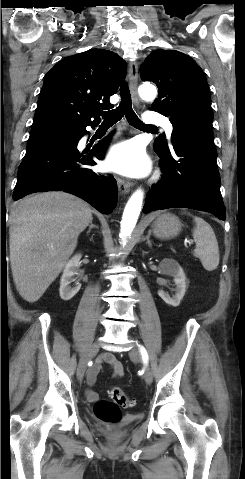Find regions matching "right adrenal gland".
Returning a JSON list of instances; mask_svg holds the SVG:
<instances>
[{
  "label": "right adrenal gland",
  "mask_w": 245,
  "mask_h": 479,
  "mask_svg": "<svg viewBox=\"0 0 245 479\" xmlns=\"http://www.w3.org/2000/svg\"><path fill=\"white\" fill-rule=\"evenodd\" d=\"M93 228L98 229V227H97L96 225H94V224L92 223V221H91V222H90L89 229H88V231H87V234H89Z\"/></svg>",
  "instance_id": "1"
}]
</instances>
